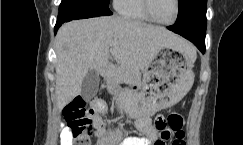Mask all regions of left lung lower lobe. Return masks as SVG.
Instances as JSON below:
<instances>
[{"label":"left lung lower lobe","instance_id":"obj_1","mask_svg":"<svg viewBox=\"0 0 243 145\" xmlns=\"http://www.w3.org/2000/svg\"><path fill=\"white\" fill-rule=\"evenodd\" d=\"M168 29L190 40L202 53L205 52V32L194 21H185L184 16L178 15L176 23Z\"/></svg>","mask_w":243,"mask_h":145}]
</instances>
